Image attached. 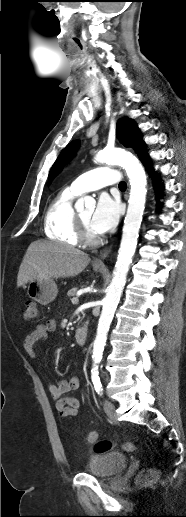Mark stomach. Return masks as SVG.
I'll return each mask as SVG.
<instances>
[{"mask_svg":"<svg viewBox=\"0 0 186 517\" xmlns=\"http://www.w3.org/2000/svg\"><path fill=\"white\" fill-rule=\"evenodd\" d=\"M94 270L101 272L103 267H94ZM58 289L52 279L30 281L27 286V294L30 298L41 305L51 303L57 296Z\"/></svg>","mask_w":186,"mask_h":517,"instance_id":"stomach-1","label":"stomach"}]
</instances>
